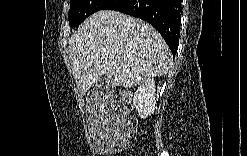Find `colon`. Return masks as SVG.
I'll use <instances>...</instances> for the list:
<instances>
[{"label": "colon", "instance_id": "colon-1", "mask_svg": "<svg viewBox=\"0 0 247 156\" xmlns=\"http://www.w3.org/2000/svg\"><path fill=\"white\" fill-rule=\"evenodd\" d=\"M117 98L122 100L123 102H128L131 98V93L129 90L122 89L117 92Z\"/></svg>", "mask_w": 247, "mask_h": 156}]
</instances>
